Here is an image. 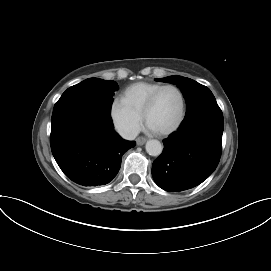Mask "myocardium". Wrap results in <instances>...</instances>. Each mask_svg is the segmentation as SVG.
<instances>
[{
    "mask_svg": "<svg viewBox=\"0 0 271 271\" xmlns=\"http://www.w3.org/2000/svg\"><path fill=\"white\" fill-rule=\"evenodd\" d=\"M167 89H173L175 90L179 97H180V113H179V117L178 119L176 120V122L168 129L166 130H163V131H158V134L159 135H162V136H167L173 132H175L179 127L180 125L182 124L184 118H185V114H186V100H185V96L182 92V90L177 87L176 85H172V84H168V85H163L162 87H160L159 89H157L150 97L149 99L147 100L144 108H143V112H142V117L143 119L145 120V122L148 123V115L150 113V111L153 109L159 95L167 90Z\"/></svg>",
    "mask_w": 271,
    "mask_h": 271,
    "instance_id": "myocardium-1",
    "label": "myocardium"
}]
</instances>
